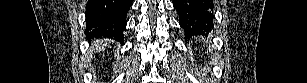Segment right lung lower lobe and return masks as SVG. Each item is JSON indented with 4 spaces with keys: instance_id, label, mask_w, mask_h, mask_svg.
<instances>
[{
    "instance_id": "right-lung-lower-lobe-1",
    "label": "right lung lower lobe",
    "mask_w": 307,
    "mask_h": 83,
    "mask_svg": "<svg viewBox=\"0 0 307 83\" xmlns=\"http://www.w3.org/2000/svg\"><path fill=\"white\" fill-rule=\"evenodd\" d=\"M131 5V0H88L85 30L87 38L112 37L119 41L123 39L126 15Z\"/></svg>"
}]
</instances>
